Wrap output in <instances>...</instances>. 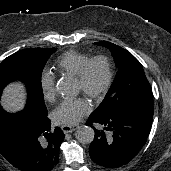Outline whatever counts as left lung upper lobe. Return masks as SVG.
I'll list each match as a JSON object with an SVG mask.
<instances>
[{"label": "left lung upper lobe", "mask_w": 171, "mask_h": 171, "mask_svg": "<svg viewBox=\"0 0 171 171\" xmlns=\"http://www.w3.org/2000/svg\"><path fill=\"white\" fill-rule=\"evenodd\" d=\"M111 50L117 75L101 104L90 116L108 117L142 112L153 115V94L141 63L127 50L107 41L97 42Z\"/></svg>", "instance_id": "5c2ea615"}]
</instances>
